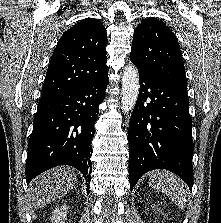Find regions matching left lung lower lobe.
<instances>
[{
	"mask_svg": "<svg viewBox=\"0 0 221 223\" xmlns=\"http://www.w3.org/2000/svg\"><path fill=\"white\" fill-rule=\"evenodd\" d=\"M140 91L129 124L131 190L146 172L161 168L193 186L192 119L187 87L139 71Z\"/></svg>",
	"mask_w": 221,
	"mask_h": 223,
	"instance_id": "1",
	"label": "left lung lower lobe"
}]
</instances>
